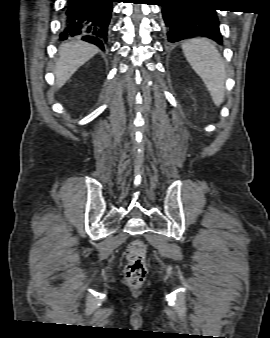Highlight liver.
I'll return each instance as SVG.
<instances>
[{
	"label": "liver",
	"instance_id": "liver-1",
	"mask_svg": "<svg viewBox=\"0 0 270 338\" xmlns=\"http://www.w3.org/2000/svg\"><path fill=\"white\" fill-rule=\"evenodd\" d=\"M95 45L83 41L64 44L59 49L55 66L56 86L61 88L79 67L98 53Z\"/></svg>",
	"mask_w": 270,
	"mask_h": 338
}]
</instances>
